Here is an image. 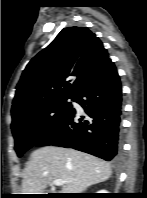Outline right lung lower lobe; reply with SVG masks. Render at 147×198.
Segmentation results:
<instances>
[{
	"mask_svg": "<svg viewBox=\"0 0 147 198\" xmlns=\"http://www.w3.org/2000/svg\"><path fill=\"white\" fill-rule=\"evenodd\" d=\"M86 116L77 120L76 110L36 146L74 148L107 161L119 153L122 88L114 63L110 62L74 98Z\"/></svg>",
	"mask_w": 147,
	"mask_h": 198,
	"instance_id": "98d812e1",
	"label": "right lung lower lobe"
}]
</instances>
